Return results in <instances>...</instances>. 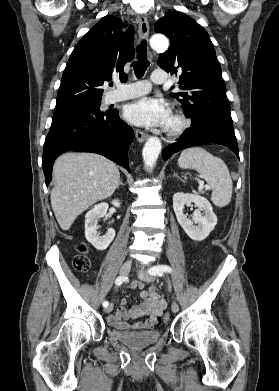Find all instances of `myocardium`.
Wrapping results in <instances>:
<instances>
[{
    "mask_svg": "<svg viewBox=\"0 0 279 391\" xmlns=\"http://www.w3.org/2000/svg\"><path fill=\"white\" fill-rule=\"evenodd\" d=\"M171 120L172 123L167 127V135L172 138L182 135L190 125V120L181 112H175Z\"/></svg>",
    "mask_w": 279,
    "mask_h": 391,
    "instance_id": "1",
    "label": "myocardium"
}]
</instances>
